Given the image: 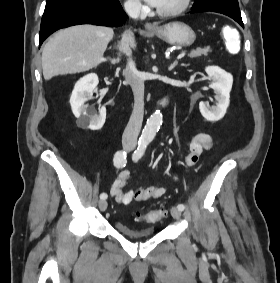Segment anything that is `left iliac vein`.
I'll return each mask as SVG.
<instances>
[{
    "instance_id": "left-iliac-vein-1",
    "label": "left iliac vein",
    "mask_w": 280,
    "mask_h": 283,
    "mask_svg": "<svg viewBox=\"0 0 280 283\" xmlns=\"http://www.w3.org/2000/svg\"><path fill=\"white\" fill-rule=\"evenodd\" d=\"M181 210L178 209L177 207H172L171 208V215L174 219L179 220L181 218Z\"/></svg>"
}]
</instances>
